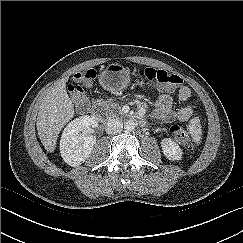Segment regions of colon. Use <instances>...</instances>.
I'll use <instances>...</instances> for the list:
<instances>
[{
    "mask_svg": "<svg viewBox=\"0 0 243 243\" xmlns=\"http://www.w3.org/2000/svg\"><path fill=\"white\" fill-rule=\"evenodd\" d=\"M140 74L147 80L156 82L169 90L177 88L183 82L180 76L161 69L145 68L140 71ZM95 77L96 71L94 69H87L73 76V83L68 86V90L77 108L83 109L87 106L88 100L84 85H90ZM170 133L179 143L186 144L190 141L188 132L179 125H172Z\"/></svg>",
    "mask_w": 243,
    "mask_h": 243,
    "instance_id": "1",
    "label": "colon"
}]
</instances>
